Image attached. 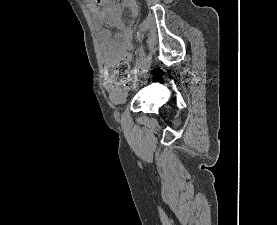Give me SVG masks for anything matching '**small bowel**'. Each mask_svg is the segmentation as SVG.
<instances>
[{
  "label": "small bowel",
  "instance_id": "c3829d8e",
  "mask_svg": "<svg viewBox=\"0 0 277 225\" xmlns=\"http://www.w3.org/2000/svg\"><path fill=\"white\" fill-rule=\"evenodd\" d=\"M121 3L132 18L136 17L138 0H121ZM89 6L93 23L98 30L99 43L106 65L104 86L110 98L117 102L123 99L125 91L116 84L112 69L119 61L131 60L128 50L132 28L122 21L120 8L111 0H98L96 3H90ZM111 28H115L114 35Z\"/></svg>",
  "mask_w": 277,
  "mask_h": 225
}]
</instances>
